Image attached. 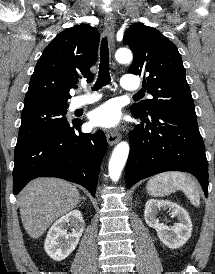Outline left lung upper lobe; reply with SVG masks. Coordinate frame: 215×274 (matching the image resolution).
<instances>
[{
    "instance_id": "5c2ea615",
    "label": "left lung upper lobe",
    "mask_w": 215,
    "mask_h": 274,
    "mask_svg": "<svg viewBox=\"0 0 215 274\" xmlns=\"http://www.w3.org/2000/svg\"><path fill=\"white\" fill-rule=\"evenodd\" d=\"M124 42L134 54L130 73L143 76V87L153 96L133 104L131 111L152 114L165 110L196 117L176 46L157 29L140 23L127 29Z\"/></svg>"
}]
</instances>
